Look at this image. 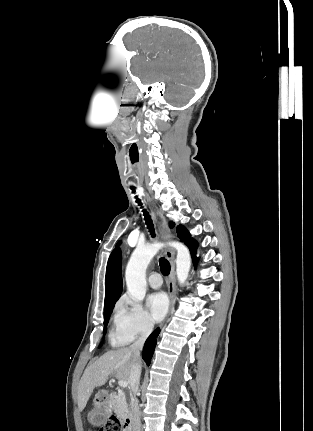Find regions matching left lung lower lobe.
I'll list each match as a JSON object with an SVG mask.
<instances>
[{"mask_svg": "<svg viewBox=\"0 0 313 431\" xmlns=\"http://www.w3.org/2000/svg\"><path fill=\"white\" fill-rule=\"evenodd\" d=\"M187 246H188V248L190 249V252H191V255H192V259H193V262H194V265H196L197 264V261H198V259H197V257H196V250H197V246H198V243L194 240V239H192L188 244H186Z\"/></svg>", "mask_w": 313, "mask_h": 431, "instance_id": "1", "label": "left lung lower lobe"}]
</instances>
